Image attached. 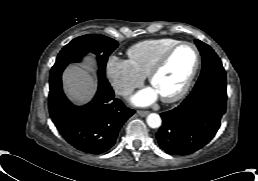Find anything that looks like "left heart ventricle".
Listing matches in <instances>:
<instances>
[{
	"label": "left heart ventricle",
	"mask_w": 258,
	"mask_h": 181,
	"mask_svg": "<svg viewBox=\"0 0 258 181\" xmlns=\"http://www.w3.org/2000/svg\"><path fill=\"white\" fill-rule=\"evenodd\" d=\"M195 61L196 55L190 46L179 48L154 79L152 86L158 95L171 96L177 93L187 81Z\"/></svg>",
	"instance_id": "1"
}]
</instances>
